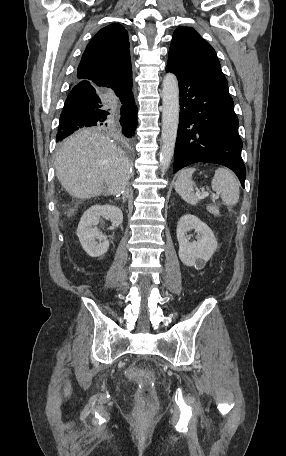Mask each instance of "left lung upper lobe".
<instances>
[{
    "mask_svg": "<svg viewBox=\"0 0 286 456\" xmlns=\"http://www.w3.org/2000/svg\"><path fill=\"white\" fill-rule=\"evenodd\" d=\"M167 65L207 80L228 92V83L215 50L193 28L179 27L175 30Z\"/></svg>",
    "mask_w": 286,
    "mask_h": 456,
    "instance_id": "left-lung-upper-lobe-1",
    "label": "left lung upper lobe"
}]
</instances>
